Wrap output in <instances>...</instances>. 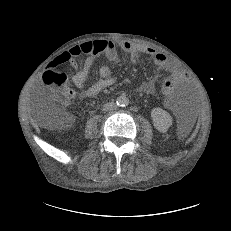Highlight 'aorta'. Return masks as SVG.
Returning <instances> with one entry per match:
<instances>
[{
	"instance_id": "aorta-1",
	"label": "aorta",
	"mask_w": 231,
	"mask_h": 231,
	"mask_svg": "<svg viewBox=\"0 0 231 231\" xmlns=\"http://www.w3.org/2000/svg\"><path fill=\"white\" fill-rule=\"evenodd\" d=\"M117 104L120 106H126L129 104V99L125 95H121L117 98Z\"/></svg>"
}]
</instances>
